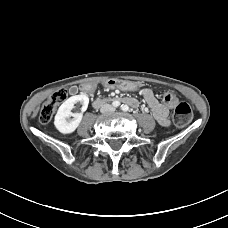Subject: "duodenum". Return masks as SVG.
<instances>
[{
  "label": "duodenum",
  "instance_id": "410a0bca",
  "mask_svg": "<svg viewBox=\"0 0 228 228\" xmlns=\"http://www.w3.org/2000/svg\"><path fill=\"white\" fill-rule=\"evenodd\" d=\"M115 101H117V100L115 99ZM121 101L124 102V103L134 104V101L129 99V98H121ZM105 102H106V99H104V98L96 99L94 101V106L98 107V106L102 105Z\"/></svg>",
  "mask_w": 228,
  "mask_h": 228
}]
</instances>
